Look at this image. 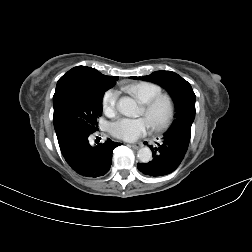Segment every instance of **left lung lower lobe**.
<instances>
[{
    "label": "left lung lower lobe",
    "instance_id": "0a47b994",
    "mask_svg": "<svg viewBox=\"0 0 252 252\" xmlns=\"http://www.w3.org/2000/svg\"><path fill=\"white\" fill-rule=\"evenodd\" d=\"M191 138V125L180 124L164 133L157 147L150 146L153 160L138 163L137 167L144 175L164 176L175 171L181 164Z\"/></svg>",
    "mask_w": 252,
    "mask_h": 252
}]
</instances>
